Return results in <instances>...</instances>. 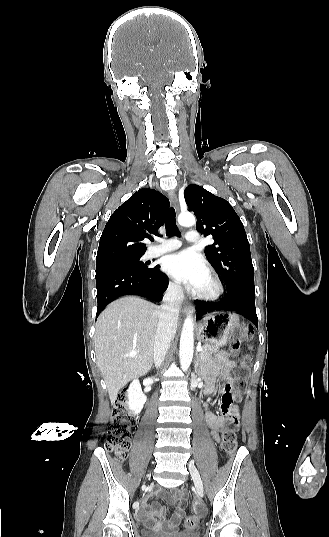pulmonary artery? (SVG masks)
Masks as SVG:
<instances>
[{
    "instance_id": "1",
    "label": "pulmonary artery",
    "mask_w": 329,
    "mask_h": 537,
    "mask_svg": "<svg viewBox=\"0 0 329 537\" xmlns=\"http://www.w3.org/2000/svg\"><path fill=\"white\" fill-rule=\"evenodd\" d=\"M186 241L189 244L196 245L200 242V236L196 231H188L186 234ZM181 246V242L177 239H170L164 241L162 244L154 247L150 251L151 257L160 256L164 253L174 251Z\"/></svg>"
}]
</instances>
